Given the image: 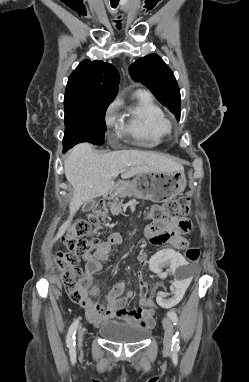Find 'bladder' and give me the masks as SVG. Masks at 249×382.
<instances>
[{"label": "bladder", "instance_id": "obj_1", "mask_svg": "<svg viewBox=\"0 0 249 382\" xmlns=\"http://www.w3.org/2000/svg\"><path fill=\"white\" fill-rule=\"evenodd\" d=\"M100 336L109 342L137 343L150 334V329L129 322L109 320L99 328Z\"/></svg>", "mask_w": 249, "mask_h": 382}]
</instances>
